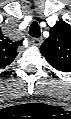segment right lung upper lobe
<instances>
[{
	"label": "right lung upper lobe",
	"instance_id": "obj_1",
	"mask_svg": "<svg viewBox=\"0 0 71 119\" xmlns=\"http://www.w3.org/2000/svg\"><path fill=\"white\" fill-rule=\"evenodd\" d=\"M22 45V40L13 42L5 36L0 37V68L12 63L17 56V48Z\"/></svg>",
	"mask_w": 71,
	"mask_h": 119
}]
</instances>
